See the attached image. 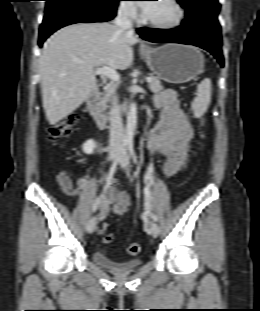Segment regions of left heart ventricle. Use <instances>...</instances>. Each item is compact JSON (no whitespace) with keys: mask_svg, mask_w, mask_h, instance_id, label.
Listing matches in <instances>:
<instances>
[{"mask_svg":"<svg viewBox=\"0 0 260 311\" xmlns=\"http://www.w3.org/2000/svg\"><path fill=\"white\" fill-rule=\"evenodd\" d=\"M146 16L154 22L167 23L176 17V10L168 0H158L152 5Z\"/></svg>","mask_w":260,"mask_h":311,"instance_id":"1","label":"left heart ventricle"}]
</instances>
